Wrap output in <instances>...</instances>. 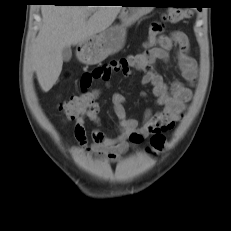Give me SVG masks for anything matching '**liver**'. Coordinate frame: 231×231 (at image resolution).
<instances>
[{
	"instance_id": "liver-1",
	"label": "liver",
	"mask_w": 231,
	"mask_h": 231,
	"mask_svg": "<svg viewBox=\"0 0 231 231\" xmlns=\"http://www.w3.org/2000/svg\"><path fill=\"white\" fill-rule=\"evenodd\" d=\"M121 9L122 6L85 5H44L41 8L43 25L34 43L32 63L44 92H48L59 78L63 48L108 29Z\"/></svg>"
}]
</instances>
